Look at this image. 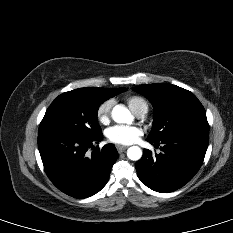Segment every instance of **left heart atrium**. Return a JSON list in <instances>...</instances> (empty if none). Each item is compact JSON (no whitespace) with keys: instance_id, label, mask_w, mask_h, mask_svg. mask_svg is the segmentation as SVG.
<instances>
[{"instance_id":"obj_1","label":"left heart atrium","mask_w":233,"mask_h":233,"mask_svg":"<svg viewBox=\"0 0 233 233\" xmlns=\"http://www.w3.org/2000/svg\"><path fill=\"white\" fill-rule=\"evenodd\" d=\"M141 135L142 130L136 126L116 125L107 130L108 139L117 144L135 143Z\"/></svg>"}]
</instances>
